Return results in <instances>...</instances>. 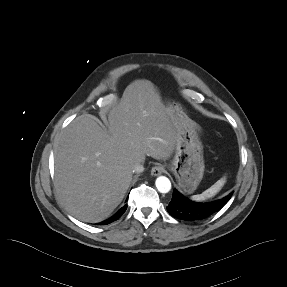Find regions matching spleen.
<instances>
[{
    "mask_svg": "<svg viewBox=\"0 0 287 287\" xmlns=\"http://www.w3.org/2000/svg\"><path fill=\"white\" fill-rule=\"evenodd\" d=\"M225 182H226V177H222L216 183H214L210 188H208L201 194L193 195L191 199L194 201H203L208 198H211L221 190Z\"/></svg>",
    "mask_w": 287,
    "mask_h": 287,
    "instance_id": "3e777b00",
    "label": "spleen"
}]
</instances>
